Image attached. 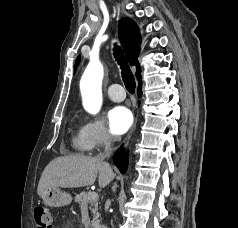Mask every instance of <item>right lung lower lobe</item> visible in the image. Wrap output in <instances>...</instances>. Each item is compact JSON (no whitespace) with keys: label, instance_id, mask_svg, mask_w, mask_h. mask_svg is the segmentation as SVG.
<instances>
[{"label":"right lung lower lobe","instance_id":"right-lung-lower-lobe-1","mask_svg":"<svg viewBox=\"0 0 238 228\" xmlns=\"http://www.w3.org/2000/svg\"><path fill=\"white\" fill-rule=\"evenodd\" d=\"M140 82L138 91L141 94V79L138 80ZM128 151H124L122 146L118 148L117 152L113 156L114 164L117 166V168L120 170V172L123 174L127 170L128 165Z\"/></svg>","mask_w":238,"mask_h":228}]
</instances>
